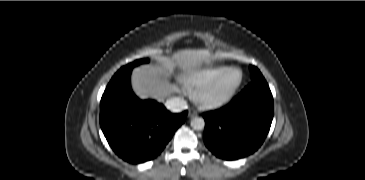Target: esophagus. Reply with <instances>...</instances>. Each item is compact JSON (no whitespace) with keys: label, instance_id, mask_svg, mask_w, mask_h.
Listing matches in <instances>:
<instances>
[{"label":"esophagus","instance_id":"esophagus-1","mask_svg":"<svg viewBox=\"0 0 365 180\" xmlns=\"http://www.w3.org/2000/svg\"><path fill=\"white\" fill-rule=\"evenodd\" d=\"M194 116H197V112L195 110H193V109H190L188 111V117L192 118Z\"/></svg>","mask_w":365,"mask_h":180}]
</instances>
